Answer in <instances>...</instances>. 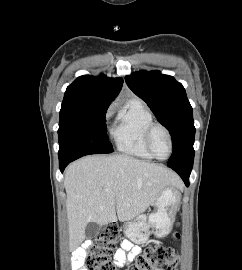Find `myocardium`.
Instances as JSON below:
<instances>
[{"instance_id":"obj_1","label":"myocardium","mask_w":242,"mask_h":270,"mask_svg":"<svg viewBox=\"0 0 242 270\" xmlns=\"http://www.w3.org/2000/svg\"><path fill=\"white\" fill-rule=\"evenodd\" d=\"M157 128L162 129L166 133V135L168 137V140H169L170 150H169L168 155L166 157H164V158L158 157L154 153L152 145H151L152 134ZM144 143H145V146H146L148 152L151 154V156L153 158L157 159V160H166V159H168L172 155L173 150H174L173 138H172V134H171L170 130L165 125H163L161 123H157V122L151 123L148 126V128L146 129L145 136H144Z\"/></svg>"}]
</instances>
